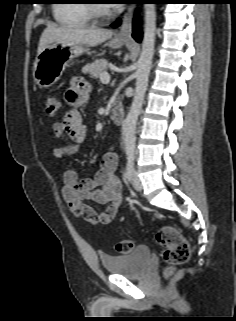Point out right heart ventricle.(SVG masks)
Returning a JSON list of instances; mask_svg holds the SVG:
<instances>
[{
  "mask_svg": "<svg viewBox=\"0 0 236 321\" xmlns=\"http://www.w3.org/2000/svg\"><path fill=\"white\" fill-rule=\"evenodd\" d=\"M87 0H61L53 9L54 19L61 25L81 26L90 22Z\"/></svg>",
  "mask_w": 236,
  "mask_h": 321,
  "instance_id": "1",
  "label": "right heart ventricle"
}]
</instances>
